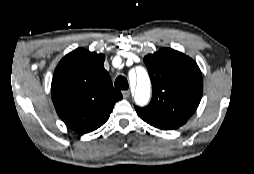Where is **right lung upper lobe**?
<instances>
[{
  "label": "right lung upper lobe",
  "mask_w": 254,
  "mask_h": 174,
  "mask_svg": "<svg viewBox=\"0 0 254 174\" xmlns=\"http://www.w3.org/2000/svg\"><path fill=\"white\" fill-rule=\"evenodd\" d=\"M105 56L78 48L57 65L51 85L56 112L72 130L85 134L109 118L115 102L122 99L104 69Z\"/></svg>",
  "instance_id": "1"
}]
</instances>
